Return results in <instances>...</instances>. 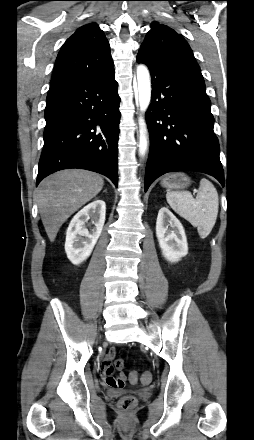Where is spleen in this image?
<instances>
[{
  "label": "spleen",
  "mask_w": 254,
  "mask_h": 440,
  "mask_svg": "<svg viewBox=\"0 0 254 440\" xmlns=\"http://www.w3.org/2000/svg\"><path fill=\"white\" fill-rule=\"evenodd\" d=\"M166 199L176 213L197 227L202 239L210 234L217 219L219 201L217 190L208 179H201L196 198L186 191H168Z\"/></svg>",
  "instance_id": "obj_1"
}]
</instances>
